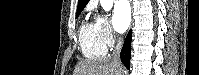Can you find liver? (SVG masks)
<instances>
[{"label":"liver","instance_id":"1","mask_svg":"<svg viewBox=\"0 0 199 75\" xmlns=\"http://www.w3.org/2000/svg\"><path fill=\"white\" fill-rule=\"evenodd\" d=\"M122 66L112 57L79 62L74 75H121Z\"/></svg>","mask_w":199,"mask_h":75}]
</instances>
